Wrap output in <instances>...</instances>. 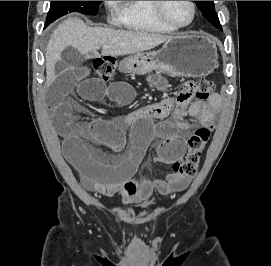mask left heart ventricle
I'll return each mask as SVG.
<instances>
[{
	"label": "left heart ventricle",
	"instance_id": "1",
	"mask_svg": "<svg viewBox=\"0 0 271 266\" xmlns=\"http://www.w3.org/2000/svg\"><path fill=\"white\" fill-rule=\"evenodd\" d=\"M164 11L168 18L178 25L187 24L192 16L189 1H164Z\"/></svg>",
	"mask_w": 271,
	"mask_h": 266
}]
</instances>
